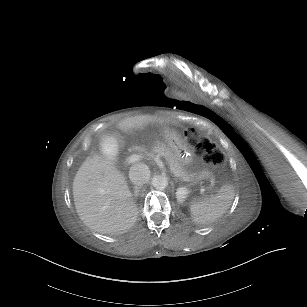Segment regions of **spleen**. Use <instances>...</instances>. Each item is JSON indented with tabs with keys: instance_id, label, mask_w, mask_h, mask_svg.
Segmentation results:
<instances>
[{
	"instance_id": "spleen-1",
	"label": "spleen",
	"mask_w": 307,
	"mask_h": 307,
	"mask_svg": "<svg viewBox=\"0 0 307 307\" xmlns=\"http://www.w3.org/2000/svg\"><path fill=\"white\" fill-rule=\"evenodd\" d=\"M234 199V189L229 185L220 188L217 194L195 201L189 208L193 221L198 225H208L220 219Z\"/></svg>"
}]
</instances>
